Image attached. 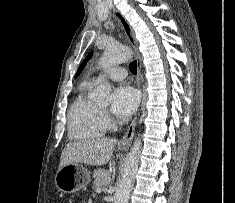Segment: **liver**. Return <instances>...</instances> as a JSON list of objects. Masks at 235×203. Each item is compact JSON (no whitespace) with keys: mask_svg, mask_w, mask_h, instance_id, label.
I'll return each instance as SVG.
<instances>
[{"mask_svg":"<svg viewBox=\"0 0 235 203\" xmlns=\"http://www.w3.org/2000/svg\"><path fill=\"white\" fill-rule=\"evenodd\" d=\"M116 143L117 140L111 138H93L70 142L61 153L59 168L73 163L92 166L104 165L110 160Z\"/></svg>","mask_w":235,"mask_h":203,"instance_id":"obj_1","label":"liver"}]
</instances>
